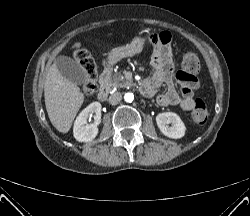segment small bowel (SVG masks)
<instances>
[{
  "label": "small bowel",
  "instance_id": "c3829d8e",
  "mask_svg": "<svg viewBox=\"0 0 250 216\" xmlns=\"http://www.w3.org/2000/svg\"><path fill=\"white\" fill-rule=\"evenodd\" d=\"M169 33L155 34L151 42L157 47L152 60V75L144 81L146 96H152L162 85H166V91L156 97L160 106H177L184 111L194 108V92L199 83L195 76H186L182 71L177 72L176 80L180 85L181 94H178L174 87L173 65L168 52L170 42Z\"/></svg>",
  "mask_w": 250,
  "mask_h": 216
}]
</instances>
